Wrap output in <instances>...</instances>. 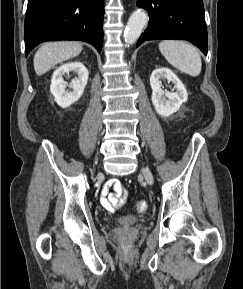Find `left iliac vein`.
Listing matches in <instances>:
<instances>
[{
    "mask_svg": "<svg viewBox=\"0 0 243 289\" xmlns=\"http://www.w3.org/2000/svg\"><path fill=\"white\" fill-rule=\"evenodd\" d=\"M142 174L143 176L145 177L146 181L149 183V184H153L154 183V179H153V175L151 173V171L148 169V168H142Z\"/></svg>",
    "mask_w": 243,
    "mask_h": 289,
    "instance_id": "1",
    "label": "left iliac vein"
}]
</instances>
